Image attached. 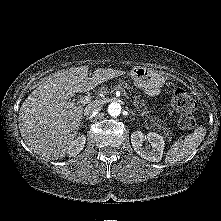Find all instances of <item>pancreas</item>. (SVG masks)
I'll return each mask as SVG.
<instances>
[{
	"label": "pancreas",
	"instance_id": "pancreas-1",
	"mask_svg": "<svg viewBox=\"0 0 221 221\" xmlns=\"http://www.w3.org/2000/svg\"><path fill=\"white\" fill-rule=\"evenodd\" d=\"M113 90V89H120V90H130L133 89V87L126 81H119V84L116 86H101L99 88V92L102 94L108 93L109 90ZM133 105L135 107V109L138 111L139 116L142 117L143 120L146 121H150L151 122V127H157L158 129H163L164 131V135L168 140H171V136H170V132L169 129L164 127L159 120H157L156 118L150 116L149 111L147 109V107L145 106V101L143 99H141V95H135L133 96Z\"/></svg>",
	"mask_w": 221,
	"mask_h": 221
}]
</instances>
